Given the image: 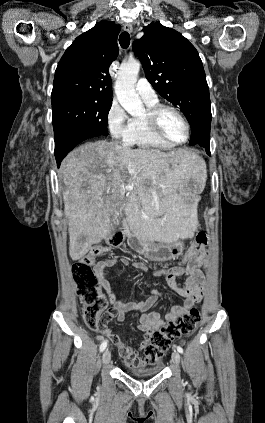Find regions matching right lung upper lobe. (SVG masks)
Returning a JSON list of instances; mask_svg holds the SVG:
<instances>
[{"mask_svg":"<svg viewBox=\"0 0 265 423\" xmlns=\"http://www.w3.org/2000/svg\"><path fill=\"white\" fill-rule=\"evenodd\" d=\"M120 25L102 20L66 49L55 71L51 98L112 100L109 67L117 58Z\"/></svg>","mask_w":265,"mask_h":423,"instance_id":"right-lung-upper-lobe-1","label":"right lung upper lobe"}]
</instances>
